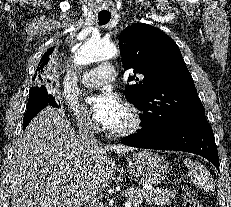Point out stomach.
Here are the masks:
<instances>
[{
	"label": "stomach",
	"instance_id": "stomach-1",
	"mask_svg": "<svg viewBox=\"0 0 231 207\" xmlns=\"http://www.w3.org/2000/svg\"><path fill=\"white\" fill-rule=\"evenodd\" d=\"M128 167L140 184H158L165 179L169 165L164 158L150 150H140L129 158Z\"/></svg>",
	"mask_w": 231,
	"mask_h": 207
}]
</instances>
